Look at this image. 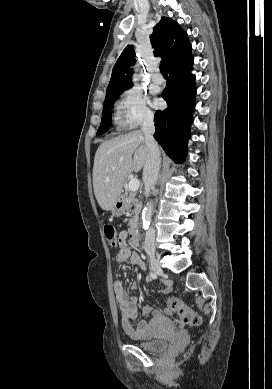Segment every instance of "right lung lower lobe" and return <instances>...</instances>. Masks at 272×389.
Listing matches in <instances>:
<instances>
[{"label": "right lung lower lobe", "instance_id": "right-lung-lower-lobe-1", "mask_svg": "<svg viewBox=\"0 0 272 389\" xmlns=\"http://www.w3.org/2000/svg\"><path fill=\"white\" fill-rule=\"evenodd\" d=\"M193 56L173 65L169 72L166 88L161 96L168 107L155 114V139L175 162H183L187 154V141L195 108V75Z\"/></svg>", "mask_w": 272, "mask_h": 389}]
</instances>
